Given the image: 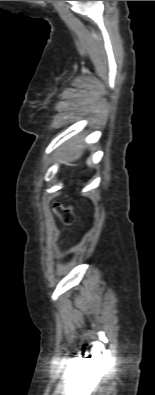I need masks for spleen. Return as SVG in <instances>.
<instances>
[{"instance_id":"spleen-1","label":"spleen","mask_w":155,"mask_h":395,"mask_svg":"<svg viewBox=\"0 0 155 395\" xmlns=\"http://www.w3.org/2000/svg\"><path fill=\"white\" fill-rule=\"evenodd\" d=\"M88 164H90V160H88Z\"/></svg>"}]
</instances>
